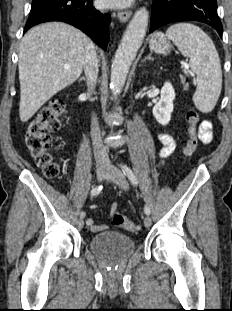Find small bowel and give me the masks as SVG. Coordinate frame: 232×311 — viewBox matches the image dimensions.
<instances>
[{"mask_svg": "<svg viewBox=\"0 0 232 311\" xmlns=\"http://www.w3.org/2000/svg\"><path fill=\"white\" fill-rule=\"evenodd\" d=\"M212 123L210 121H203L199 130V137L202 142L209 144L212 141ZM157 139L162 143L163 147L159 151V156L165 158L173 153L176 148L175 139L166 132H158L156 134ZM117 207L116 204H113L111 209L115 210ZM92 232H100L106 230L108 226L106 224H96L93 219L88 218L86 221Z\"/></svg>", "mask_w": 232, "mask_h": 311, "instance_id": "c3829d8e", "label": "small bowel"}]
</instances>
